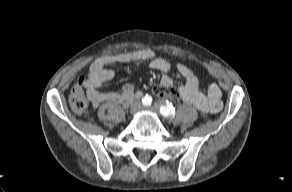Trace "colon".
I'll list each match as a JSON object with an SVG mask.
<instances>
[{
	"instance_id": "5ec220e1",
	"label": "colon",
	"mask_w": 292,
	"mask_h": 192,
	"mask_svg": "<svg viewBox=\"0 0 292 192\" xmlns=\"http://www.w3.org/2000/svg\"><path fill=\"white\" fill-rule=\"evenodd\" d=\"M84 83L85 79L83 77L80 78L76 85L72 88L69 95L70 107L76 114L84 113L88 107ZM153 91L154 94L160 98L175 100L178 97L173 89L164 86H156Z\"/></svg>"
}]
</instances>
